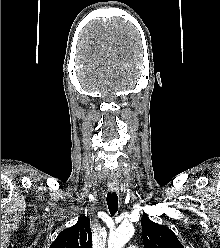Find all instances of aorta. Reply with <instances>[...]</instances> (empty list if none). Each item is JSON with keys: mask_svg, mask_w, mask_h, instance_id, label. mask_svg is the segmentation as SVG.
I'll return each instance as SVG.
<instances>
[{"mask_svg": "<svg viewBox=\"0 0 220 248\" xmlns=\"http://www.w3.org/2000/svg\"><path fill=\"white\" fill-rule=\"evenodd\" d=\"M134 226L130 223L121 224L114 232L110 233L108 248H123L134 235Z\"/></svg>", "mask_w": 220, "mask_h": 248, "instance_id": "obj_1", "label": "aorta"}]
</instances>
